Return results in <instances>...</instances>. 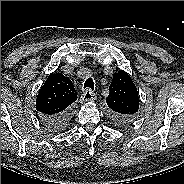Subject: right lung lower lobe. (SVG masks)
Instances as JSON below:
<instances>
[{
	"label": "right lung lower lobe",
	"mask_w": 184,
	"mask_h": 184,
	"mask_svg": "<svg viewBox=\"0 0 184 184\" xmlns=\"http://www.w3.org/2000/svg\"><path fill=\"white\" fill-rule=\"evenodd\" d=\"M70 118V110L68 109L64 113L55 115V116H41V120L45 125L50 127L51 129L53 128H60L62 127L65 123L69 121Z\"/></svg>",
	"instance_id": "98d812e1"
}]
</instances>
